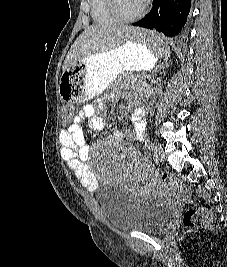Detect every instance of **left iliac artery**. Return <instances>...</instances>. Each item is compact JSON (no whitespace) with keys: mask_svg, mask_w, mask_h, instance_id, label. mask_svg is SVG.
<instances>
[{"mask_svg":"<svg viewBox=\"0 0 227 267\" xmlns=\"http://www.w3.org/2000/svg\"><path fill=\"white\" fill-rule=\"evenodd\" d=\"M150 148H151V150H154V148H155L154 143H151V144H150Z\"/></svg>","mask_w":227,"mask_h":267,"instance_id":"obj_1","label":"left iliac artery"}]
</instances>
